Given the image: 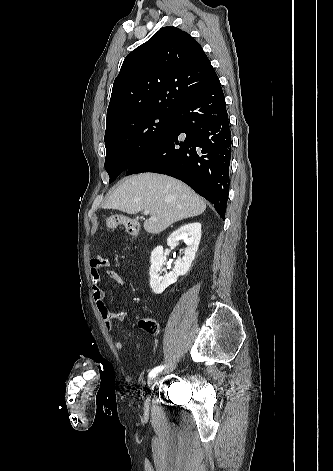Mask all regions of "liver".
<instances>
[{"mask_svg":"<svg viewBox=\"0 0 333 471\" xmlns=\"http://www.w3.org/2000/svg\"><path fill=\"white\" fill-rule=\"evenodd\" d=\"M103 207L127 214L149 210L151 217L144 221V229L158 234L175 222L202 214L206 203L188 185L173 177L141 173L120 184Z\"/></svg>","mask_w":333,"mask_h":471,"instance_id":"obj_1","label":"liver"}]
</instances>
